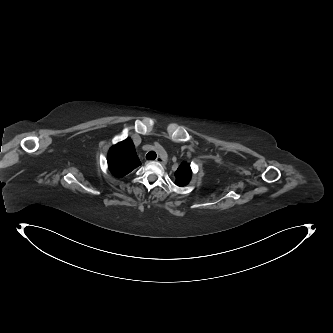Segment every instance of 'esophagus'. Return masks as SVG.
<instances>
[{"label": "esophagus", "instance_id": "obj_1", "mask_svg": "<svg viewBox=\"0 0 333 333\" xmlns=\"http://www.w3.org/2000/svg\"><path fill=\"white\" fill-rule=\"evenodd\" d=\"M156 162L161 163V164H166L167 161L165 158L160 156V157L156 158Z\"/></svg>", "mask_w": 333, "mask_h": 333}]
</instances>
